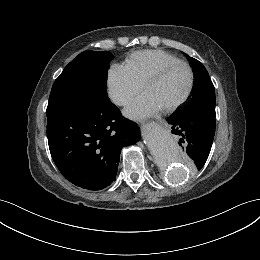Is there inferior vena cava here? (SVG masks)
<instances>
[{"label":"inferior vena cava","mask_w":260,"mask_h":260,"mask_svg":"<svg viewBox=\"0 0 260 260\" xmlns=\"http://www.w3.org/2000/svg\"><path fill=\"white\" fill-rule=\"evenodd\" d=\"M124 102H125V98L123 97L117 99V104H124Z\"/></svg>","instance_id":"obj_1"}]
</instances>
